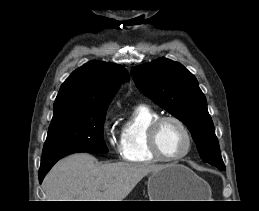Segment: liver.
Listing matches in <instances>:
<instances>
[{
    "label": "liver",
    "mask_w": 259,
    "mask_h": 211,
    "mask_svg": "<svg viewBox=\"0 0 259 211\" xmlns=\"http://www.w3.org/2000/svg\"><path fill=\"white\" fill-rule=\"evenodd\" d=\"M163 165L147 163L99 164L88 153L57 162L44 179L48 201H123L138 182Z\"/></svg>",
    "instance_id": "liver-1"
}]
</instances>
